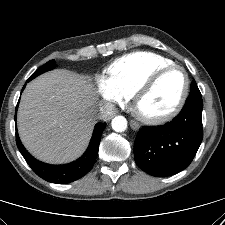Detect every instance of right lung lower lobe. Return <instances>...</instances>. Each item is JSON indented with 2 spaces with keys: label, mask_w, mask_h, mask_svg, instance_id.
<instances>
[{
  "label": "right lung lower lobe",
  "mask_w": 225,
  "mask_h": 225,
  "mask_svg": "<svg viewBox=\"0 0 225 225\" xmlns=\"http://www.w3.org/2000/svg\"><path fill=\"white\" fill-rule=\"evenodd\" d=\"M28 81L30 80L28 79ZM105 127L106 123L96 124L86 152L78 160L65 165H50L36 160L22 145L17 131L16 143L24 159L38 176L52 183L66 184L80 179L91 170L98 154L101 134Z\"/></svg>",
  "instance_id": "98d812e1"
}]
</instances>
